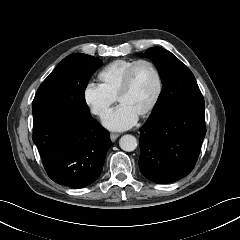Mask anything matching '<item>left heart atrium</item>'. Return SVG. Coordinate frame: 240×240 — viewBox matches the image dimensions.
Returning <instances> with one entry per match:
<instances>
[{
	"label": "left heart atrium",
	"mask_w": 240,
	"mask_h": 240,
	"mask_svg": "<svg viewBox=\"0 0 240 240\" xmlns=\"http://www.w3.org/2000/svg\"><path fill=\"white\" fill-rule=\"evenodd\" d=\"M137 120L136 114L126 106L120 105L103 119V125L113 131H122L132 127Z\"/></svg>",
	"instance_id": "1"
}]
</instances>
